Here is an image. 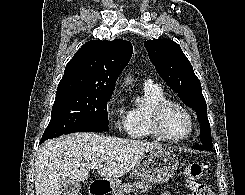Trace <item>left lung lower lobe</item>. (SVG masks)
<instances>
[{"label":"left lung lower lobe","mask_w":245,"mask_h":195,"mask_svg":"<svg viewBox=\"0 0 245 195\" xmlns=\"http://www.w3.org/2000/svg\"><path fill=\"white\" fill-rule=\"evenodd\" d=\"M212 147L213 146L206 145V144H198V145L193 146L192 148L193 149H198V150L213 151ZM215 153H216V151H215Z\"/></svg>","instance_id":"0a47b994"}]
</instances>
